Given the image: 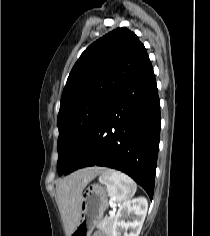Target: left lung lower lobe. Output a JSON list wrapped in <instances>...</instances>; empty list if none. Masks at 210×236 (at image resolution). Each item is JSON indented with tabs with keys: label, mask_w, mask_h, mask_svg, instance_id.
<instances>
[{
	"label": "left lung lower lobe",
	"mask_w": 210,
	"mask_h": 236,
	"mask_svg": "<svg viewBox=\"0 0 210 236\" xmlns=\"http://www.w3.org/2000/svg\"><path fill=\"white\" fill-rule=\"evenodd\" d=\"M160 101L151 62L114 98L65 175L105 166L132 177L153 198L160 135Z\"/></svg>",
	"instance_id": "left-lung-lower-lobe-1"
}]
</instances>
